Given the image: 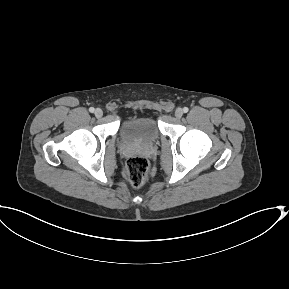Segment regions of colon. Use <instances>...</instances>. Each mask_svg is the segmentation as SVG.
<instances>
[{
	"mask_svg": "<svg viewBox=\"0 0 289 289\" xmlns=\"http://www.w3.org/2000/svg\"><path fill=\"white\" fill-rule=\"evenodd\" d=\"M149 162L142 156H133L126 161V173L133 187H141L148 175Z\"/></svg>",
	"mask_w": 289,
	"mask_h": 289,
	"instance_id": "obj_1",
	"label": "colon"
}]
</instances>
